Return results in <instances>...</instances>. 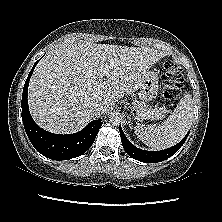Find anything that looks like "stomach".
Masks as SVG:
<instances>
[{
  "label": "stomach",
  "instance_id": "obj_1",
  "mask_svg": "<svg viewBox=\"0 0 222 222\" xmlns=\"http://www.w3.org/2000/svg\"><path fill=\"white\" fill-rule=\"evenodd\" d=\"M158 74L154 71H146L139 86V98L145 102L154 99L158 92ZM144 103V102H142Z\"/></svg>",
  "mask_w": 222,
  "mask_h": 222
}]
</instances>
